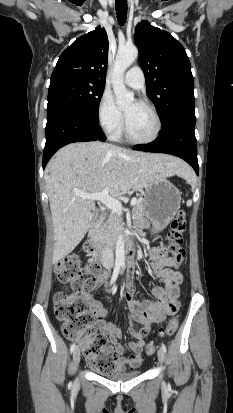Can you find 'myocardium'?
I'll return each mask as SVG.
<instances>
[{
  "instance_id": "1",
  "label": "myocardium",
  "mask_w": 233,
  "mask_h": 413,
  "mask_svg": "<svg viewBox=\"0 0 233 413\" xmlns=\"http://www.w3.org/2000/svg\"><path fill=\"white\" fill-rule=\"evenodd\" d=\"M139 104H141V105L145 106L146 108H148L151 111V113L153 114L154 119H155V123H156L155 131H154L153 135L150 138H147V139L134 138L129 132L128 123H127V119H126V116H125V120H124V137L128 142H130L132 144L146 145V144H150V143L155 142L159 138V136L161 134V131H162V120H161V117H160V114H159L157 108L152 103H150L148 101H141V102H139Z\"/></svg>"
}]
</instances>
